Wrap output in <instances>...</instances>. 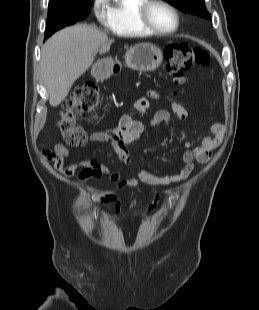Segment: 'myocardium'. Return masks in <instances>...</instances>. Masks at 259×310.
Masks as SVG:
<instances>
[{
    "label": "myocardium",
    "instance_id": "obj_1",
    "mask_svg": "<svg viewBox=\"0 0 259 310\" xmlns=\"http://www.w3.org/2000/svg\"><path fill=\"white\" fill-rule=\"evenodd\" d=\"M156 4L166 7L173 13L175 20H176V25L173 29L161 30L152 24L149 18V11H150V8ZM138 19H139L140 24L147 31H149L150 33L154 35H158V36L171 35L177 32L181 24V18H180V14L178 10L172 4H170L169 2L165 0H145V2L138 9Z\"/></svg>",
    "mask_w": 259,
    "mask_h": 310
}]
</instances>
